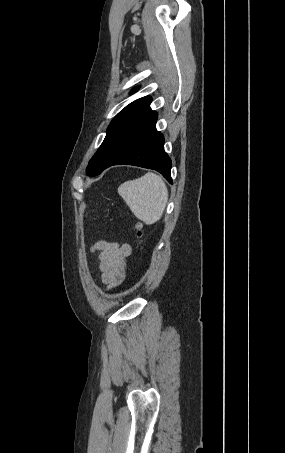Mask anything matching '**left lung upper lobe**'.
Segmentation results:
<instances>
[{"instance_id":"obj_1","label":"left lung upper lobe","mask_w":285,"mask_h":453,"mask_svg":"<svg viewBox=\"0 0 285 453\" xmlns=\"http://www.w3.org/2000/svg\"><path fill=\"white\" fill-rule=\"evenodd\" d=\"M136 91L137 88H134L132 93ZM151 101L152 99L149 96L137 99L127 105L115 116L107 129V134L103 143L89 161V165L86 169L88 176H96L100 173V170L106 163L110 152L121 135L133 123V121L149 107Z\"/></svg>"}]
</instances>
